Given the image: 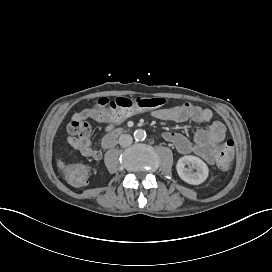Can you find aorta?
<instances>
[{
  "label": "aorta",
  "instance_id": "aorta-1",
  "mask_svg": "<svg viewBox=\"0 0 272 272\" xmlns=\"http://www.w3.org/2000/svg\"><path fill=\"white\" fill-rule=\"evenodd\" d=\"M134 138L137 141L144 140L146 138V131L143 129H137L134 132Z\"/></svg>",
  "mask_w": 272,
  "mask_h": 272
}]
</instances>
